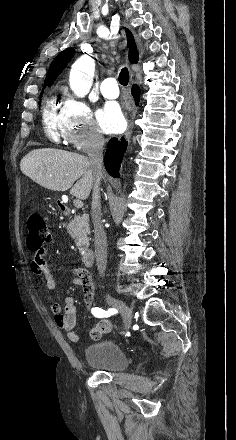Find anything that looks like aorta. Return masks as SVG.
<instances>
[{
	"mask_svg": "<svg viewBox=\"0 0 236 440\" xmlns=\"http://www.w3.org/2000/svg\"><path fill=\"white\" fill-rule=\"evenodd\" d=\"M94 70V61L89 56L80 57L72 65L69 84L76 96L84 97L89 92L93 82Z\"/></svg>",
	"mask_w": 236,
	"mask_h": 440,
	"instance_id": "1",
	"label": "aorta"
}]
</instances>
